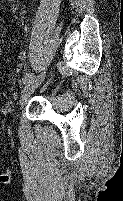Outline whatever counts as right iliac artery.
<instances>
[{
    "label": "right iliac artery",
    "mask_w": 123,
    "mask_h": 201,
    "mask_svg": "<svg viewBox=\"0 0 123 201\" xmlns=\"http://www.w3.org/2000/svg\"><path fill=\"white\" fill-rule=\"evenodd\" d=\"M34 77L33 73H27L22 79V84H26L30 79Z\"/></svg>",
    "instance_id": "right-iliac-artery-1"
}]
</instances>
